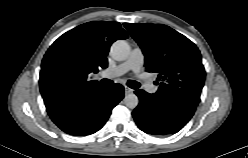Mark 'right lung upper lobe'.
Returning <instances> with one entry per match:
<instances>
[{
    "mask_svg": "<svg viewBox=\"0 0 248 158\" xmlns=\"http://www.w3.org/2000/svg\"><path fill=\"white\" fill-rule=\"evenodd\" d=\"M128 34L118 22L93 21L60 36L41 64L39 86L46 107L81 96L99 87L91 73L107 67V54L116 39Z\"/></svg>",
    "mask_w": 248,
    "mask_h": 158,
    "instance_id": "obj_1",
    "label": "right lung upper lobe"
}]
</instances>
